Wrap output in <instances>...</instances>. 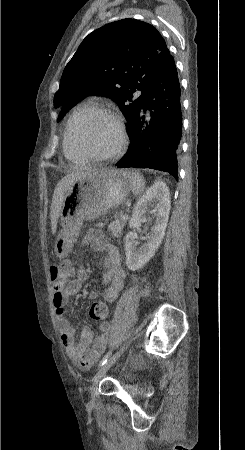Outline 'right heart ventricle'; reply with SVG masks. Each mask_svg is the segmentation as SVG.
Wrapping results in <instances>:
<instances>
[{
  "mask_svg": "<svg viewBox=\"0 0 245 450\" xmlns=\"http://www.w3.org/2000/svg\"><path fill=\"white\" fill-rule=\"evenodd\" d=\"M95 109H98L95 103L93 101H87L76 106L70 116L64 134L63 150L65 156L71 161L83 163L87 161V158L73 147L69 128L70 120L72 118L80 119Z\"/></svg>",
  "mask_w": 245,
  "mask_h": 450,
  "instance_id": "obj_1",
  "label": "right heart ventricle"
}]
</instances>
